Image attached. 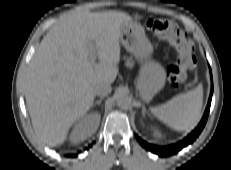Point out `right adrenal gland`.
<instances>
[{
  "mask_svg": "<svg viewBox=\"0 0 231 170\" xmlns=\"http://www.w3.org/2000/svg\"><path fill=\"white\" fill-rule=\"evenodd\" d=\"M102 100H103V97H100L99 100L95 101V103L93 104V106L100 105Z\"/></svg>",
  "mask_w": 231,
  "mask_h": 170,
  "instance_id": "1",
  "label": "right adrenal gland"
}]
</instances>
